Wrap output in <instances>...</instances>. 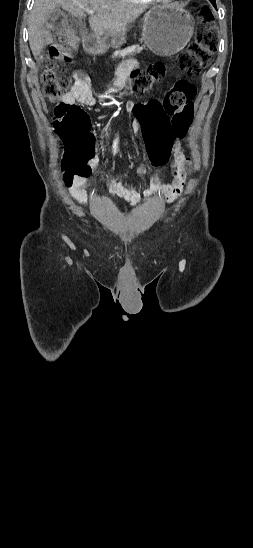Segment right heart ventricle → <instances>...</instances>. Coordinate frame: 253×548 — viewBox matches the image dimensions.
<instances>
[{
  "instance_id": "right-heart-ventricle-1",
  "label": "right heart ventricle",
  "mask_w": 253,
  "mask_h": 548,
  "mask_svg": "<svg viewBox=\"0 0 253 548\" xmlns=\"http://www.w3.org/2000/svg\"><path fill=\"white\" fill-rule=\"evenodd\" d=\"M118 1L127 3V4H134V5H148L153 0H118Z\"/></svg>"
}]
</instances>
